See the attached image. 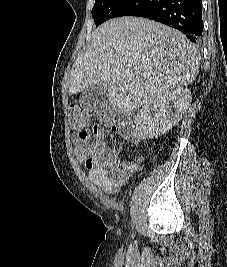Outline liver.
I'll list each match as a JSON object with an SVG mask.
<instances>
[{"label": "liver", "instance_id": "6515ba94", "mask_svg": "<svg viewBox=\"0 0 227 267\" xmlns=\"http://www.w3.org/2000/svg\"><path fill=\"white\" fill-rule=\"evenodd\" d=\"M198 71V51L182 33L148 19L122 17L93 32L74 62L67 88L76 94L105 84L110 104L128 113L164 92L190 85Z\"/></svg>", "mask_w": 227, "mask_h": 267}]
</instances>
